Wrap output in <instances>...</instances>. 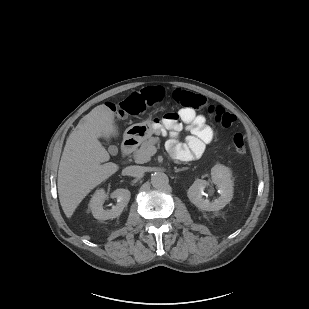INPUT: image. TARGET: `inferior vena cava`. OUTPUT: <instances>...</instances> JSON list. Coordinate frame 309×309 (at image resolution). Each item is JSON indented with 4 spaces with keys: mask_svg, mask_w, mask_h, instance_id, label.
<instances>
[{
    "mask_svg": "<svg viewBox=\"0 0 309 309\" xmlns=\"http://www.w3.org/2000/svg\"><path fill=\"white\" fill-rule=\"evenodd\" d=\"M144 167L142 166H137V165H133V166H128L124 169V173L126 175L129 176H133V177H140L144 174Z\"/></svg>",
    "mask_w": 309,
    "mask_h": 309,
    "instance_id": "602c4592",
    "label": "inferior vena cava"
}]
</instances>
